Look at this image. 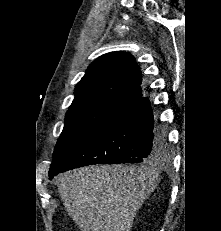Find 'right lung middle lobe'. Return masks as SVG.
<instances>
[{
	"label": "right lung middle lobe",
	"instance_id": "dd1d6c3e",
	"mask_svg": "<svg viewBox=\"0 0 221 231\" xmlns=\"http://www.w3.org/2000/svg\"><path fill=\"white\" fill-rule=\"evenodd\" d=\"M130 103L123 98L95 97L71 105L54 150L50 171L68 162L113 115Z\"/></svg>",
	"mask_w": 221,
	"mask_h": 231
}]
</instances>
